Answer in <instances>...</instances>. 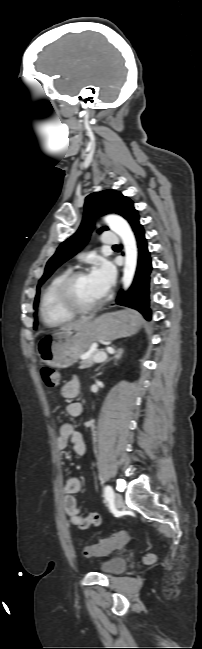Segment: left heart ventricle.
<instances>
[{
    "mask_svg": "<svg viewBox=\"0 0 202 649\" xmlns=\"http://www.w3.org/2000/svg\"><path fill=\"white\" fill-rule=\"evenodd\" d=\"M103 296L87 274L78 279L75 286V297L79 303L89 305L100 300Z\"/></svg>",
    "mask_w": 202,
    "mask_h": 649,
    "instance_id": "left-heart-ventricle-1",
    "label": "left heart ventricle"
}]
</instances>
